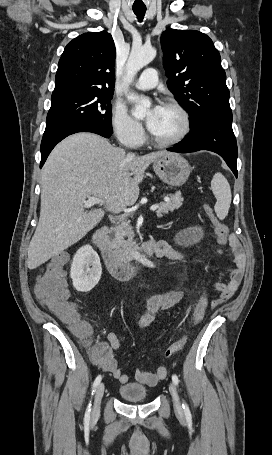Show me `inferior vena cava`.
Instances as JSON below:
<instances>
[{
  "label": "inferior vena cava",
  "mask_w": 272,
  "mask_h": 455,
  "mask_svg": "<svg viewBox=\"0 0 272 455\" xmlns=\"http://www.w3.org/2000/svg\"><path fill=\"white\" fill-rule=\"evenodd\" d=\"M134 156H135V155L132 154V153H129V154H128V157H134Z\"/></svg>",
  "instance_id": "1"
}]
</instances>
